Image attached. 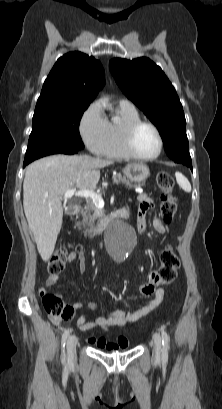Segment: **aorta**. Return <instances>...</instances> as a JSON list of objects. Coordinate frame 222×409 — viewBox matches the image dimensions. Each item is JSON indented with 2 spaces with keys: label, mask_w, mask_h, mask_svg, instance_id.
Listing matches in <instances>:
<instances>
[{
  "label": "aorta",
  "mask_w": 222,
  "mask_h": 409,
  "mask_svg": "<svg viewBox=\"0 0 222 409\" xmlns=\"http://www.w3.org/2000/svg\"><path fill=\"white\" fill-rule=\"evenodd\" d=\"M133 229L125 222H116L108 232V244L118 257H126L132 250Z\"/></svg>",
  "instance_id": "obj_1"
}]
</instances>
